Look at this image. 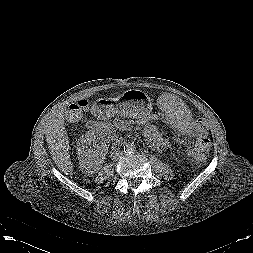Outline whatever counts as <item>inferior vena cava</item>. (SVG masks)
I'll return each mask as SVG.
<instances>
[{"instance_id": "602c4592", "label": "inferior vena cava", "mask_w": 253, "mask_h": 253, "mask_svg": "<svg viewBox=\"0 0 253 253\" xmlns=\"http://www.w3.org/2000/svg\"><path fill=\"white\" fill-rule=\"evenodd\" d=\"M122 156V152L116 151L113 155V159L117 160Z\"/></svg>"}]
</instances>
